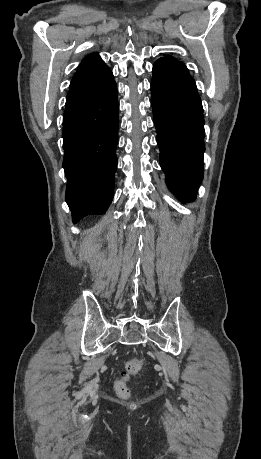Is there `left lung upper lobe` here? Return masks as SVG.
I'll return each instance as SVG.
<instances>
[{
	"mask_svg": "<svg viewBox=\"0 0 261 459\" xmlns=\"http://www.w3.org/2000/svg\"><path fill=\"white\" fill-rule=\"evenodd\" d=\"M158 61L170 62V63H177V64H182V65H184L183 63L179 62L178 60L174 59V58L171 57V56H167V57L160 58Z\"/></svg>",
	"mask_w": 261,
	"mask_h": 459,
	"instance_id": "left-lung-upper-lobe-1",
	"label": "left lung upper lobe"
}]
</instances>
